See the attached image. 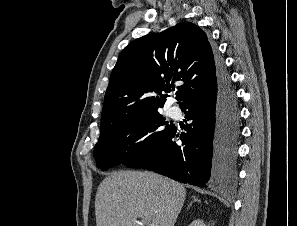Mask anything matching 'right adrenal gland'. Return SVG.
Here are the masks:
<instances>
[{
  "label": "right adrenal gland",
  "mask_w": 297,
  "mask_h": 226,
  "mask_svg": "<svg viewBox=\"0 0 297 226\" xmlns=\"http://www.w3.org/2000/svg\"><path fill=\"white\" fill-rule=\"evenodd\" d=\"M200 200H198L196 197H193V201L189 204L188 207H190L192 205L193 202H199Z\"/></svg>",
  "instance_id": "right-adrenal-gland-1"
}]
</instances>
